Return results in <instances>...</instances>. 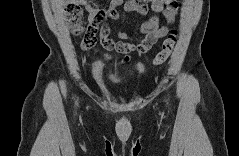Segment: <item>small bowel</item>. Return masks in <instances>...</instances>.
<instances>
[{
  "label": "small bowel",
  "instance_id": "small-bowel-1",
  "mask_svg": "<svg viewBox=\"0 0 239 156\" xmlns=\"http://www.w3.org/2000/svg\"><path fill=\"white\" fill-rule=\"evenodd\" d=\"M80 2L87 5L89 23L95 22L99 29L101 21H96V15L102 10H99L94 5L87 4L85 1ZM120 7H123L126 12H136L141 15L147 14L149 10H151L153 13L152 16L146 19L135 30L136 34L143 36L137 45L129 42L131 36L124 31H119L117 33L121 41L115 42L109 37V29L107 27H104L100 30L99 40L101 45L106 50H115L125 54L131 52H146L153 44L168 34V25L175 21L178 13V3L176 0H130L126 2L123 0H111L108 8L105 10L108 14L107 17L116 18L117 10ZM161 19L164 21V24H160ZM96 35L97 33L94 35V40L91 43L90 48L96 43ZM90 39V35H86L83 41L84 47H86V44ZM129 60L130 57L127 56L125 61L128 62Z\"/></svg>",
  "mask_w": 239,
  "mask_h": 156
}]
</instances>
